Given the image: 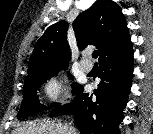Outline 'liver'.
<instances>
[{"instance_id":"1","label":"liver","mask_w":153,"mask_h":134,"mask_svg":"<svg viewBox=\"0 0 153 134\" xmlns=\"http://www.w3.org/2000/svg\"><path fill=\"white\" fill-rule=\"evenodd\" d=\"M13 134H76L72 127L55 121L30 122L18 127Z\"/></svg>"}]
</instances>
